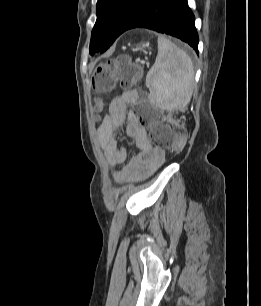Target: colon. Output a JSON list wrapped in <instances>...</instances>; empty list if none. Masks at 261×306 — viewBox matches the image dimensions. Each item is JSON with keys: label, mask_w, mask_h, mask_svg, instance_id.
Returning <instances> with one entry per match:
<instances>
[{"label": "colon", "mask_w": 261, "mask_h": 306, "mask_svg": "<svg viewBox=\"0 0 261 306\" xmlns=\"http://www.w3.org/2000/svg\"><path fill=\"white\" fill-rule=\"evenodd\" d=\"M140 78V69L129 57L120 56L99 64L92 76V84L98 91H108L116 83L125 91H132ZM137 115L141 124L150 128L152 142L159 148L179 149L184 142V135L176 133L171 127L161 122L158 111L140 107Z\"/></svg>", "instance_id": "5ec220e1"}]
</instances>
